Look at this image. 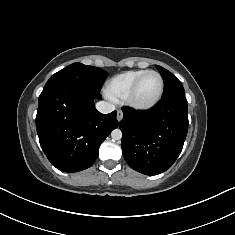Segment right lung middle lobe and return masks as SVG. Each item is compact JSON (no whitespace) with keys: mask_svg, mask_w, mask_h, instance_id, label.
Instances as JSON below:
<instances>
[{"mask_svg":"<svg viewBox=\"0 0 235 235\" xmlns=\"http://www.w3.org/2000/svg\"><path fill=\"white\" fill-rule=\"evenodd\" d=\"M108 73L82 63H73L50 77L44 88L60 84H76L100 92Z\"/></svg>","mask_w":235,"mask_h":235,"instance_id":"right-lung-middle-lobe-1","label":"right lung middle lobe"}]
</instances>
